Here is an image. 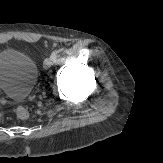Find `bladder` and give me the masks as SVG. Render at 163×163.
I'll return each mask as SVG.
<instances>
[{
	"label": "bladder",
	"instance_id": "bladder-1",
	"mask_svg": "<svg viewBox=\"0 0 163 163\" xmlns=\"http://www.w3.org/2000/svg\"><path fill=\"white\" fill-rule=\"evenodd\" d=\"M38 77L36 62L16 49L0 51V92L12 99H24L33 90Z\"/></svg>",
	"mask_w": 163,
	"mask_h": 163
}]
</instances>
